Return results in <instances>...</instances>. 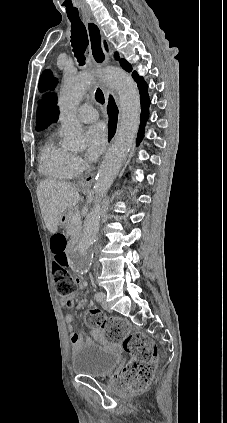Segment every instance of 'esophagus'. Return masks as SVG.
<instances>
[{
  "instance_id": "obj_1",
  "label": "esophagus",
  "mask_w": 227,
  "mask_h": 423,
  "mask_svg": "<svg viewBox=\"0 0 227 423\" xmlns=\"http://www.w3.org/2000/svg\"><path fill=\"white\" fill-rule=\"evenodd\" d=\"M86 27L88 32L90 55L94 65L98 67L107 65L109 61V53L105 50L104 35L100 26L95 20L88 19L86 20ZM104 90L106 94L105 111L107 114V125L109 129L105 141L110 145L113 143L115 135L117 134L116 129H118L120 121V107L113 90L106 85L104 86ZM95 175L96 172L84 175L80 178V180H78V182L81 184H92L94 182Z\"/></svg>"
}]
</instances>
